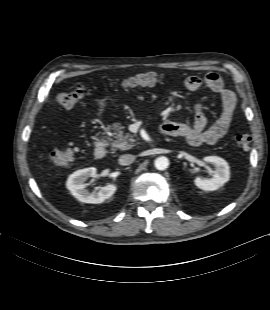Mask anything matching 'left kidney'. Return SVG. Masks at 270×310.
Listing matches in <instances>:
<instances>
[{
    "mask_svg": "<svg viewBox=\"0 0 270 310\" xmlns=\"http://www.w3.org/2000/svg\"><path fill=\"white\" fill-rule=\"evenodd\" d=\"M204 161L212 164L215 171L211 178H196L195 185L204 191L219 190L230 179V169L228 163L220 157L208 156Z\"/></svg>",
    "mask_w": 270,
    "mask_h": 310,
    "instance_id": "obj_1",
    "label": "left kidney"
}]
</instances>
